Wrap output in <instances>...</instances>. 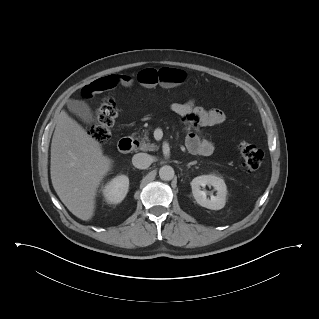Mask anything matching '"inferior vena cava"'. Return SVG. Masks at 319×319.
<instances>
[{"label":"inferior vena cava","instance_id":"1","mask_svg":"<svg viewBox=\"0 0 319 319\" xmlns=\"http://www.w3.org/2000/svg\"><path fill=\"white\" fill-rule=\"evenodd\" d=\"M132 163L138 169H146L151 165V158L146 153H137L132 157Z\"/></svg>","mask_w":319,"mask_h":319}]
</instances>
